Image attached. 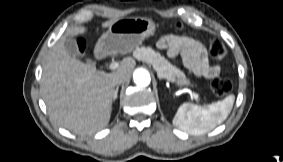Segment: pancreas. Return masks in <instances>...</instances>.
<instances>
[{
	"mask_svg": "<svg viewBox=\"0 0 283 162\" xmlns=\"http://www.w3.org/2000/svg\"><path fill=\"white\" fill-rule=\"evenodd\" d=\"M134 56L139 60L152 64L160 78L174 81L177 77L184 75L182 71L173 66L164 56H161L159 52L149 47L136 48Z\"/></svg>",
	"mask_w": 283,
	"mask_h": 162,
	"instance_id": "pancreas-1",
	"label": "pancreas"
}]
</instances>
